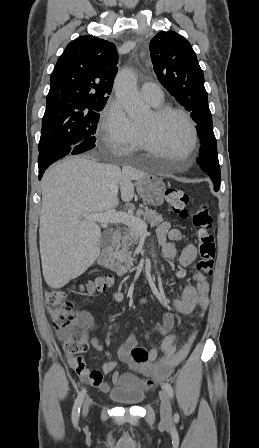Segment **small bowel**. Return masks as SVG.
I'll list each match as a JSON object with an SVG mask.
<instances>
[{"label": "small bowel", "mask_w": 259, "mask_h": 448, "mask_svg": "<svg viewBox=\"0 0 259 448\" xmlns=\"http://www.w3.org/2000/svg\"><path fill=\"white\" fill-rule=\"evenodd\" d=\"M170 232L171 226L166 222L160 224L156 230L157 241L161 246L163 256L167 259H173L178 254L177 243L168 241ZM196 257L197 248L195 245L185 243L179 255V263L182 267H188L195 261ZM193 279L195 283L186 284L182 289L181 295L174 299L172 304L180 314H190L197 307L199 308V316L203 317L209 305L208 294L210 285L204 273L199 270L193 274ZM114 297L117 301H123L124 299L121 293H115ZM141 302H147V298H142ZM173 326L174 315L171 312H166L162 323L155 326V331L164 335L161 343L163 354L159 357L158 350L150 347L148 350V361L143 364L135 363L130 356L131 350L137 345L134 335H130L121 346L119 351L120 360L136 373L143 375L144 379L131 372L114 371L117 365L115 360L105 362L100 370H90L81 356L73 357L68 355V362L78 377L103 392H108L113 386L151 389L156 381L168 378L173 369L187 357L197 337V330L193 329L183 343L177 345V335L172 332ZM91 344L96 350L108 355L98 339L92 338ZM108 375H111V377L107 378Z\"/></svg>", "instance_id": "small-bowel-1"}]
</instances>
